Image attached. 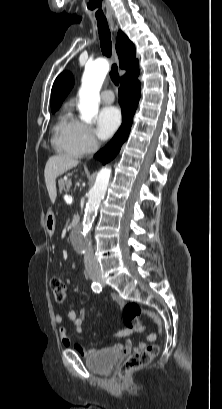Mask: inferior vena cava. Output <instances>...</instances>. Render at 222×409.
I'll return each mask as SVG.
<instances>
[{
  "label": "inferior vena cava",
  "instance_id": "602c4592",
  "mask_svg": "<svg viewBox=\"0 0 222 409\" xmlns=\"http://www.w3.org/2000/svg\"><path fill=\"white\" fill-rule=\"evenodd\" d=\"M85 266L87 268V270L89 271H93V270H99V264L96 260V258L94 257V253H93V248L92 245L89 243L86 246V250H85Z\"/></svg>",
  "mask_w": 222,
  "mask_h": 409
}]
</instances>
